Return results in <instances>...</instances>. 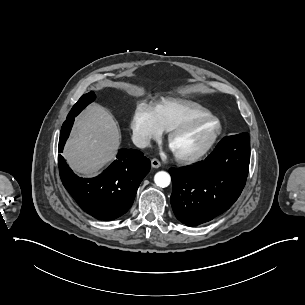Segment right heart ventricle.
Masks as SVG:
<instances>
[{
    "label": "right heart ventricle",
    "mask_w": 305,
    "mask_h": 305,
    "mask_svg": "<svg viewBox=\"0 0 305 305\" xmlns=\"http://www.w3.org/2000/svg\"><path fill=\"white\" fill-rule=\"evenodd\" d=\"M210 112L195 101L179 98L166 99L155 109L158 124L164 132H172L184 121Z\"/></svg>",
    "instance_id": "1"
}]
</instances>
